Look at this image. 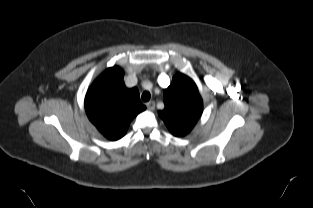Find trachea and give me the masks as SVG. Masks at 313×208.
<instances>
[{"label": "trachea", "mask_w": 313, "mask_h": 208, "mask_svg": "<svg viewBox=\"0 0 313 208\" xmlns=\"http://www.w3.org/2000/svg\"><path fill=\"white\" fill-rule=\"evenodd\" d=\"M150 98H151V95H150V93H149L148 91L143 92V94H142V100H143L144 102H148V101L150 100Z\"/></svg>", "instance_id": "1"}]
</instances>
